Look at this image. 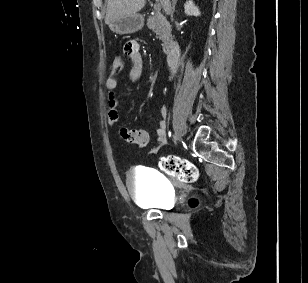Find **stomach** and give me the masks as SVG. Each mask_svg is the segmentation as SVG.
Here are the masks:
<instances>
[{
    "label": "stomach",
    "mask_w": 308,
    "mask_h": 283,
    "mask_svg": "<svg viewBox=\"0 0 308 283\" xmlns=\"http://www.w3.org/2000/svg\"><path fill=\"white\" fill-rule=\"evenodd\" d=\"M144 18L140 14L118 17L114 22L109 24L112 32L125 35L131 34L142 29Z\"/></svg>",
    "instance_id": "1"
}]
</instances>
